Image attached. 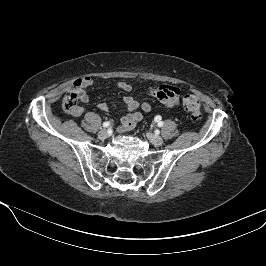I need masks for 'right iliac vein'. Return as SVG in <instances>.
<instances>
[{"label":"right iliac vein","instance_id":"obj_1","mask_svg":"<svg viewBox=\"0 0 266 266\" xmlns=\"http://www.w3.org/2000/svg\"><path fill=\"white\" fill-rule=\"evenodd\" d=\"M108 137V132H107V130L106 129H101L100 131H99V133H98V138L100 139V140H104V139H106Z\"/></svg>","mask_w":266,"mask_h":266}]
</instances>
